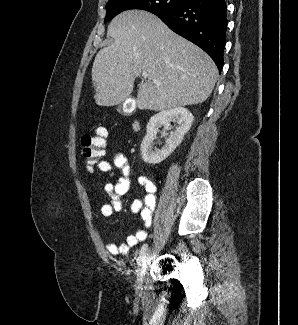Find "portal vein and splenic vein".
<instances>
[{
  "mask_svg": "<svg viewBox=\"0 0 298 325\" xmlns=\"http://www.w3.org/2000/svg\"><path fill=\"white\" fill-rule=\"evenodd\" d=\"M142 76H144V78H147V74L146 72H142ZM153 82H157V84H161V80H157V78H152Z\"/></svg>",
  "mask_w": 298,
  "mask_h": 325,
  "instance_id": "obj_1",
  "label": "portal vein and splenic vein"
}]
</instances>
